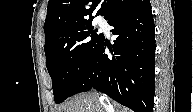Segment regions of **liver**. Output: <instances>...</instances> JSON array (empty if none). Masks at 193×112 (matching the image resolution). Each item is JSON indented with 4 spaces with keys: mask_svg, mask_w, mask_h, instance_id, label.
Masks as SVG:
<instances>
[{
    "mask_svg": "<svg viewBox=\"0 0 193 112\" xmlns=\"http://www.w3.org/2000/svg\"><path fill=\"white\" fill-rule=\"evenodd\" d=\"M58 112H130L117 103L104 102L96 92L80 94L58 107Z\"/></svg>",
    "mask_w": 193,
    "mask_h": 112,
    "instance_id": "obj_1",
    "label": "liver"
}]
</instances>
